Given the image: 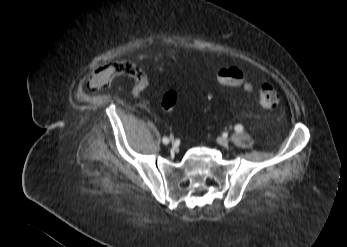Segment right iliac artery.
Listing matches in <instances>:
<instances>
[{
  "mask_svg": "<svg viewBox=\"0 0 347 247\" xmlns=\"http://www.w3.org/2000/svg\"><path fill=\"white\" fill-rule=\"evenodd\" d=\"M162 141H163L164 144H168L169 143V139L167 137H164L162 139Z\"/></svg>",
  "mask_w": 347,
  "mask_h": 247,
  "instance_id": "right-iliac-artery-1",
  "label": "right iliac artery"
}]
</instances>
